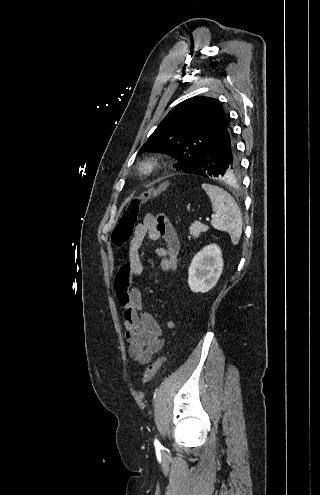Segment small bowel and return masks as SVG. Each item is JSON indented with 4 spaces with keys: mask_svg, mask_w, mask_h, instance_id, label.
Returning a JSON list of instances; mask_svg holds the SVG:
<instances>
[{
    "mask_svg": "<svg viewBox=\"0 0 320 495\" xmlns=\"http://www.w3.org/2000/svg\"><path fill=\"white\" fill-rule=\"evenodd\" d=\"M146 237L151 241L165 242V247L156 248V253L161 258L160 267L164 272L176 270L180 247L177 232L169 219L163 214L147 213L135 226L129 244L128 262L117 273L116 294L122 308L129 355L140 364L149 363L164 346L160 324L143 309L140 286H129L133 276H141L143 273L140 248ZM176 325V321L172 319L165 323L169 330L175 329Z\"/></svg>",
    "mask_w": 320,
    "mask_h": 495,
    "instance_id": "small-bowel-1",
    "label": "small bowel"
}]
</instances>
